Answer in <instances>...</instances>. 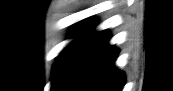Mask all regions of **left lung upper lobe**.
<instances>
[{
	"mask_svg": "<svg viewBox=\"0 0 173 91\" xmlns=\"http://www.w3.org/2000/svg\"><path fill=\"white\" fill-rule=\"evenodd\" d=\"M96 25L94 19H89L81 21L71 33V37L79 36L76 40L70 43L58 56L55 61L53 72H52V88L56 85L62 69L64 68L69 56L75 50V48L83 41V39L88 35L90 30Z\"/></svg>",
	"mask_w": 173,
	"mask_h": 91,
	"instance_id": "1",
	"label": "left lung upper lobe"
}]
</instances>
